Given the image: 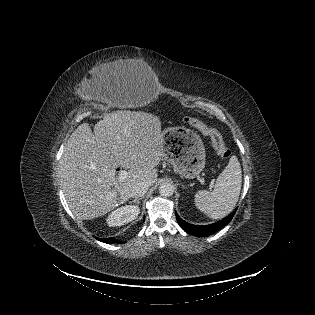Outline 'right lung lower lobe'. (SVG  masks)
<instances>
[{
	"label": "right lung lower lobe",
	"mask_w": 315,
	"mask_h": 315,
	"mask_svg": "<svg viewBox=\"0 0 315 315\" xmlns=\"http://www.w3.org/2000/svg\"><path fill=\"white\" fill-rule=\"evenodd\" d=\"M99 241L104 243L113 244V243H121V241L116 240L115 238H97Z\"/></svg>",
	"instance_id": "obj_1"
}]
</instances>
